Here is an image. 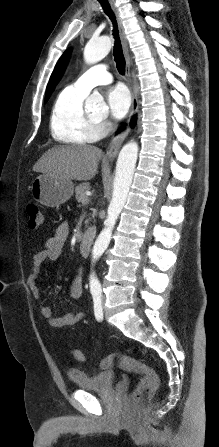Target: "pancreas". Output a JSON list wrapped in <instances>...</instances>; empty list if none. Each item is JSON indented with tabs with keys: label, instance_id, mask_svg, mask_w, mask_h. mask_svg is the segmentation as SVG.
<instances>
[{
	"label": "pancreas",
	"instance_id": "obj_1",
	"mask_svg": "<svg viewBox=\"0 0 219 447\" xmlns=\"http://www.w3.org/2000/svg\"><path fill=\"white\" fill-rule=\"evenodd\" d=\"M89 189H90V185H89V183H87V182H86V183L79 184V185L76 186V188H75V193H76L75 197H76V200H77L78 202L82 203L83 205H84V204H87L86 202L83 203V199L88 198L85 192H86V190H89Z\"/></svg>",
	"mask_w": 219,
	"mask_h": 447
}]
</instances>
